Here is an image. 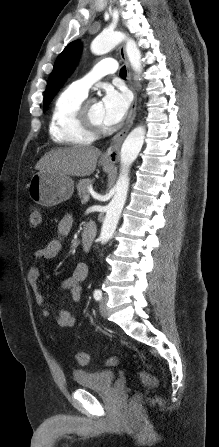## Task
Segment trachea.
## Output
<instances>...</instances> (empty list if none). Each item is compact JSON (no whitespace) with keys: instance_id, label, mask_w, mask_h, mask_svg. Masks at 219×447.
Segmentation results:
<instances>
[{"instance_id":"1","label":"trachea","mask_w":219,"mask_h":447,"mask_svg":"<svg viewBox=\"0 0 219 447\" xmlns=\"http://www.w3.org/2000/svg\"><path fill=\"white\" fill-rule=\"evenodd\" d=\"M126 74H127V72H126V67L124 66V67H122L121 70H120V76H121L122 78H126Z\"/></svg>"}]
</instances>
